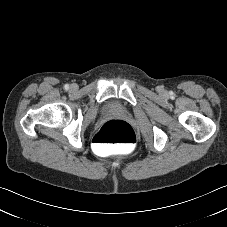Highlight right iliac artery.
Masks as SVG:
<instances>
[{
	"mask_svg": "<svg viewBox=\"0 0 227 227\" xmlns=\"http://www.w3.org/2000/svg\"><path fill=\"white\" fill-rule=\"evenodd\" d=\"M64 89H65V90H68V89H69V85L66 84V85L64 86Z\"/></svg>",
	"mask_w": 227,
	"mask_h": 227,
	"instance_id": "right-iliac-artery-1",
	"label": "right iliac artery"
}]
</instances>
